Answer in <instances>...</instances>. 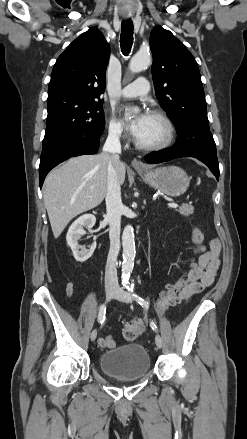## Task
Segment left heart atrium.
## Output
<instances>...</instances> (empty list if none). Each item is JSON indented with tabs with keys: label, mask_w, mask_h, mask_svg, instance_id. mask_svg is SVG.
<instances>
[{
	"label": "left heart atrium",
	"mask_w": 247,
	"mask_h": 439,
	"mask_svg": "<svg viewBox=\"0 0 247 439\" xmlns=\"http://www.w3.org/2000/svg\"><path fill=\"white\" fill-rule=\"evenodd\" d=\"M147 120H148V115L141 114L128 123V127L134 137L138 138L142 134L145 125L147 123Z\"/></svg>",
	"instance_id": "obj_1"
}]
</instances>
